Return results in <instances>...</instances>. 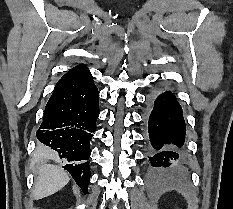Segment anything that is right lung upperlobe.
I'll use <instances>...</instances> for the list:
<instances>
[{
	"instance_id": "1",
	"label": "right lung upper lobe",
	"mask_w": 233,
	"mask_h": 209,
	"mask_svg": "<svg viewBox=\"0 0 233 209\" xmlns=\"http://www.w3.org/2000/svg\"><path fill=\"white\" fill-rule=\"evenodd\" d=\"M81 65H83V64H79V65H77L76 67L81 66ZM74 68H75V67H74Z\"/></svg>"
}]
</instances>
